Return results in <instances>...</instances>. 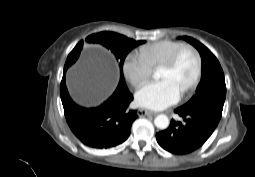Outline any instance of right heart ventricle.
Wrapping results in <instances>:
<instances>
[{
  "instance_id": "obj_1",
  "label": "right heart ventricle",
  "mask_w": 255,
  "mask_h": 177,
  "mask_svg": "<svg viewBox=\"0 0 255 177\" xmlns=\"http://www.w3.org/2000/svg\"><path fill=\"white\" fill-rule=\"evenodd\" d=\"M185 44L174 40H161L141 49V53L153 67L161 66L169 60L171 56Z\"/></svg>"
}]
</instances>
